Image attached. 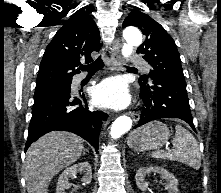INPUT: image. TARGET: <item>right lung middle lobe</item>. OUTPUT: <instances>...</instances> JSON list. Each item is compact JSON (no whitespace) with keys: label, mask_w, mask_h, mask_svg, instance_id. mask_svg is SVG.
<instances>
[{"label":"right lung middle lobe","mask_w":221,"mask_h":193,"mask_svg":"<svg viewBox=\"0 0 221 193\" xmlns=\"http://www.w3.org/2000/svg\"><path fill=\"white\" fill-rule=\"evenodd\" d=\"M71 82H63L45 86H38L35 89L34 97L49 93V92H70Z\"/></svg>","instance_id":"1"}]
</instances>
